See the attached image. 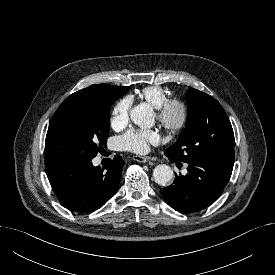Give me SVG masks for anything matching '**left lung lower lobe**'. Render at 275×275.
Here are the masks:
<instances>
[{"label":"left lung lower lobe","mask_w":275,"mask_h":275,"mask_svg":"<svg viewBox=\"0 0 275 275\" xmlns=\"http://www.w3.org/2000/svg\"><path fill=\"white\" fill-rule=\"evenodd\" d=\"M187 164L186 175L175 173L173 184L160 190L166 203L181 213L198 212L213 204L227 185L234 165L233 162L203 157Z\"/></svg>","instance_id":"1"}]
</instances>
